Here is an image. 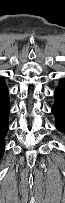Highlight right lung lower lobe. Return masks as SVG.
<instances>
[{
	"label": "right lung lower lobe",
	"instance_id": "98d812e1",
	"mask_svg": "<svg viewBox=\"0 0 65 203\" xmlns=\"http://www.w3.org/2000/svg\"><path fill=\"white\" fill-rule=\"evenodd\" d=\"M9 110L8 88L0 77V158L4 153L5 136L9 124Z\"/></svg>",
	"mask_w": 65,
	"mask_h": 203
}]
</instances>
